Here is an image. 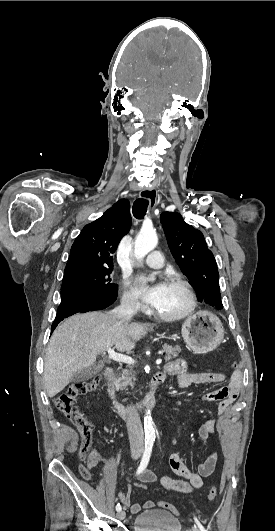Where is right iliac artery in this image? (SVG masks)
Segmentation results:
<instances>
[{
  "label": "right iliac artery",
  "instance_id": "1",
  "mask_svg": "<svg viewBox=\"0 0 275 531\" xmlns=\"http://www.w3.org/2000/svg\"><path fill=\"white\" fill-rule=\"evenodd\" d=\"M152 447H153V440H146L145 441V450H144L140 465H139V467L137 469V474H140L147 467L149 459H150V456H151ZM116 510L118 512L121 511V506H120L119 503L116 506Z\"/></svg>",
  "mask_w": 275,
  "mask_h": 531
}]
</instances>
